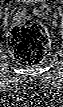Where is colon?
Instances as JSON below:
<instances>
[{
  "mask_svg": "<svg viewBox=\"0 0 63 107\" xmlns=\"http://www.w3.org/2000/svg\"><path fill=\"white\" fill-rule=\"evenodd\" d=\"M49 36L46 28L36 21H25L16 25L10 33L9 46L22 64L40 63L49 49Z\"/></svg>",
  "mask_w": 63,
  "mask_h": 107,
  "instance_id": "colon-1",
  "label": "colon"
}]
</instances>
